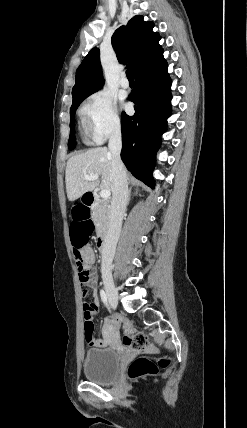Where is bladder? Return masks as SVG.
Returning a JSON list of instances; mask_svg holds the SVG:
<instances>
[{
  "label": "bladder",
  "mask_w": 247,
  "mask_h": 428,
  "mask_svg": "<svg viewBox=\"0 0 247 428\" xmlns=\"http://www.w3.org/2000/svg\"><path fill=\"white\" fill-rule=\"evenodd\" d=\"M120 355L112 348H91L83 361L85 377L95 383L108 384L119 375Z\"/></svg>",
  "instance_id": "bladder-1"
}]
</instances>
